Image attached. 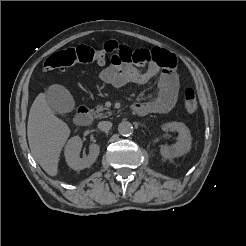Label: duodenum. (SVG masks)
Instances as JSON below:
<instances>
[{"label": "duodenum", "mask_w": 246, "mask_h": 246, "mask_svg": "<svg viewBox=\"0 0 246 246\" xmlns=\"http://www.w3.org/2000/svg\"><path fill=\"white\" fill-rule=\"evenodd\" d=\"M134 108V107H133ZM91 121V113L88 107L80 106L74 117V122L78 126H87Z\"/></svg>", "instance_id": "obj_1"}]
</instances>
